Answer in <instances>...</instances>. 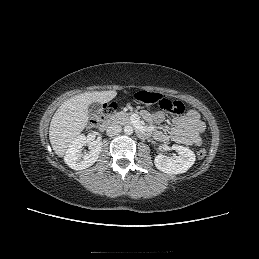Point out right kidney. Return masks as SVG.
I'll return each mask as SVG.
<instances>
[{
    "mask_svg": "<svg viewBox=\"0 0 259 259\" xmlns=\"http://www.w3.org/2000/svg\"><path fill=\"white\" fill-rule=\"evenodd\" d=\"M87 144L89 146V151L88 153L83 154L81 151ZM101 148V141L95 140L88 143L85 135H79L70 143L66 150L64 161L74 170L86 169L97 161Z\"/></svg>",
    "mask_w": 259,
    "mask_h": 259,
    "instance_id": "right-kidney-1",
    "label": "right kidney"
}]
</instances>
